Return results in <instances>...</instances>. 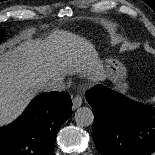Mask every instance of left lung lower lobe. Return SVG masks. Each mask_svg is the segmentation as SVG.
I'll use <instances>...</instances> for the list:
<instances>
[{
	"label": "left lung lower lobe",
	"mask_w": 155,
	"mask_h": 155,
	"mask_svg": "<svg viewBox=\"0 0 155 155\" xmlns=\"http://www.w3.org/2000/svg\"><path fill=\"white\" fill-rule=\"evenodd\" d=\"M93 108L92 138L101 155H150L155 151V107L98 85L86 93Z\"/></svg>",
	"instance_id": "obj_1"
}]
</instances>
